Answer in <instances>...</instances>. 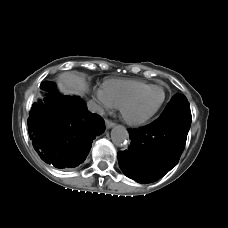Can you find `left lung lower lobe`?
I'll use <instances>...</instances> for the list:
<instances>
[{"label": "left lung lower lobe", "mask_w": 228, "mask_h": 228, "mask_svg": "<svg viewBox=\"0 0 228 228\" xmlns=\"http://www.w3.org/2000/svg\"><path fill=\"white\" fill-rule=\"evenodd\" d=\"M190 125L191 117L161 114L151 124L128 129L130 147L118 152L119 166L124 174L139 183L163 177L178 163Z\"/></svg>", "instance_id": "left-lung-lower-lobe-1"}]
</instances>
